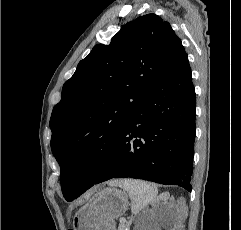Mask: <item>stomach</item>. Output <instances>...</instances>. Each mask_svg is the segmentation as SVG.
Wrapping results in <instances>:
<instances>
[{"instance_id": "obj_1", "label": "stomach", "mask_w": 241, "mask_h": 230, "mask_svg": "<svg viewBox=\"0 0 241 230\" xmlns=\"http://www.w3.org/2000/svg\"><path fill=\"white\" fill-rule=\"evenodd\" d=\"M128 209V198L117 188L98 191L73 218V230H115V219Z\"/></svg>"}]
</instances>
